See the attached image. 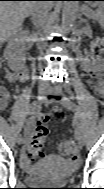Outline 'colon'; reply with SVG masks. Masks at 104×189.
I'll return each instance as SVG.
<instances>
[{
    "label": "colon",
    "mask_w": 104,
    "mask_h": 189,
    "mask_svg": "<svg viewBox=\"0 0 104 189\" xmlns=\"http://www.w3.org/2000/svg\"><path fill=\"white\" fill-rule=\"evenodd\" d=\"M102 51V41L100 39H96L93 43V53L98 57L101 55ZM93 74L94 76L100 77L101 70L95 69ZM48 134V119L44 116L38 124L36 134L33 136L28 149V155L31 156V158L35 159L40 155ZM59 151L62 155L69 156L73 160L78 158L77 146L72 140H63L59 145Z\"/></svg>",
    "instance_id": "1"
}]
</instances>
